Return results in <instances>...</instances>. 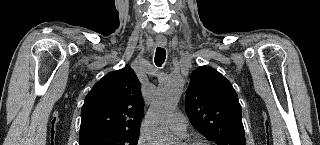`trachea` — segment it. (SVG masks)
<instances>
[{
  "instance_id": "1",
  "label": "trachea",
  "mask_w": 320,
  "mask_h": 145,
  "mask_svg": "<svg viewBox=\"0 0 320 145\" xmlns=\"http://www.w3.org/2000/svg\"><path fill=\"white\" fill-rule=\"evenodd\" d=\"M166 58V50L161 47H157L156 53H155V64L158 67H161V65L164 63Z\"/></svg>"
}]
</instances>
